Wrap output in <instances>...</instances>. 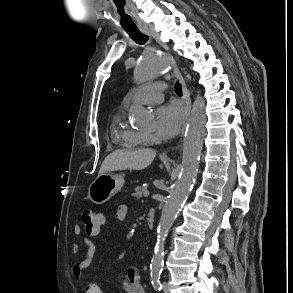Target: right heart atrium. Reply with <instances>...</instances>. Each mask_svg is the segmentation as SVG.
<instances>
[{
  "label": "right heart atrium",
  "instance_id": "1",
  "mask_svg": "<svg viewBox=\"0 0 293 293\" xmlns=\"http://www.w3.org/2000/svg\"><path fill=\"white\" fill-rule=\"evenodd\" d=\"M144 136L148 142H153L155 140L151 134H144Z\"/></svg>",
  "mask_w": 293,
  "mask_h": 293
}]
</instances>
